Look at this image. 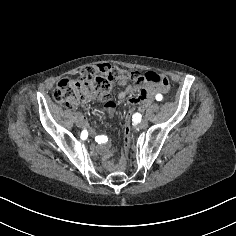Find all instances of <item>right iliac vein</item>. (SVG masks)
<instances>
[{
	"instance_id": "right-iliac-vein-1",
	"label": "right iliac vein",
	"mask_w": 236,
	"mask_h": 236,
	"mask_svg": "<svg viewBox=\"0 0 236 236\" xmlns=\"http://www.w3.org/2000/svg\"><path fill=\"white\" fill-rule=\"evenodd\" d=\"M89 132L94 136L96 133L94 132V129L93 128H90L89 129Z\"/></svg>"
}]
</instances>
